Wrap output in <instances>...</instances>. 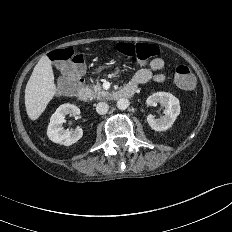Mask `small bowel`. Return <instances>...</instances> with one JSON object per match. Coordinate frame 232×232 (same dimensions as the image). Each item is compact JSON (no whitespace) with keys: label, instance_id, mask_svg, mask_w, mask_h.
I'll use <instances>...</instances> for the list:
<instances>
[{"label":"small bowel","instance_id":"small-bowel-1","mask_svg":"<svg viewBox=\"0 0 232 232\" xmlns=\"http://www.w3.org/2000/svg\"><path fill=\"white\" fill-rule=\"evenodd\" d=\"M164 65L165 62L162 58L153 59L148 68L139 69L134 74L128 86L136 89L138 85L145 84L151 80L155 82H163L165 80V74L162 72Z\"/></svg>","mask_w":232,"mask_h":232}]
</instances>
